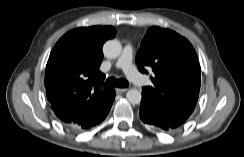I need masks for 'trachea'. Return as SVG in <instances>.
I'll return each mask as SVG.
<instances>
[{
  "label": "trachea",
  "instance_id": "trachea-1",
  "mask_svg": "<svg viewBox=\"0 0 244 157\" xmlns=\"http://www.w3.org/2000/svg\"><path fill=\"white\" fill-rule=\"evenodd\" d=\"M129 83L127 80L121 78V79H116L114 77L108 78L106 80V82L104 83V89L108 90V89H113L116 86L117 87H121V88H125L128 87Z\"/></svg>",
  "mask_w": 244,
  "mask_h": 157
}]
</instances>
